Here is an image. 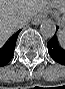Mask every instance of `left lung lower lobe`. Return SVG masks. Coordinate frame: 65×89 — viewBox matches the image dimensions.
I'll use <instances>...</instances> for the list:
<instances>
[{"label": "left lung lower lobe", "instance_id": "1", "mask_svg": "<svg viewBox=\"0 0 65 89\" xmlns=\"http://www.w3.org/2000/svg\"><path fill=\"white\" fill-rule=\"evenodd\" d=\"M58 27H56V30ZM50 56L58 63L65 65V38L63 42L58 41L56 35L47 43Z\"/></svg>", "mask_w": 65, "mask_h": 89}]
</instances>
